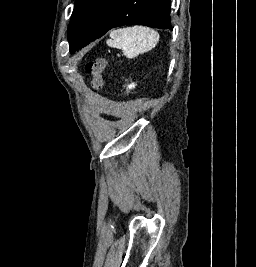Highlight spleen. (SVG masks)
<instances>
[{
	"mask_svg": "<svg viewBox=\"0 0 256 267\" xmlns=\"http://www.w3.org/2000/svg\"><path fill=\"white\" fill-rule=\"evenodd\" d=\"M159 34L152 28L134 26V28H119L110 32V40L106 44L110 48L123 50L126 58H137L139 54L150 52L159 42Z\"/></svg>",
	"mask_w": 256,
	"mask_h": 267,
	"instance_id": "1",
	"label": "spleen"
}]
</instances>
